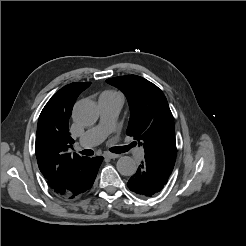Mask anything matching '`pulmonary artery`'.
<instances>
[{"label":"pulmonary artery","instance_id":"obj_1","mask_svg":"<svg viewBox=\"0 0 246 246\" xmlns=\"http://www.w3.org/2000/svg\"><path fill=\"white\" fill-rule=\"evenodd\" d=\"M123 98L121 95L103 93L100 95L98 105L100 109V122L98 125L88 129L79 139L81 147H92L102 142L113 128L117 115L122 107ZM136 160L144 158V150L138 148L133 153Z\"/></svg>","mask_w":246,"mask_h":246}]
</instances>
